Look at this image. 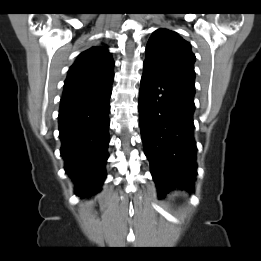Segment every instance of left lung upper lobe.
<instances>
[{
    "label": "left lung upper lobe",
    "mask_w": 261,
    "mask_h": 261,
    "mask_svg": "<svg viewBox=\"0 0 261 261\" xmlns=\"http://www.w3.org/2000/svg\"><path fill=\"white\" fill-rule=\"evenodd\" d=\"M195 59L186 40L174 31L158 29L153 32L147 43L144 64L194 85Z\"/></svg>",
    "instance_id": "left-lung-upper-lobe-1"
}]
</instances>
